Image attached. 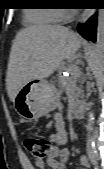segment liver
Listing matches in <instances>:
<instances>
[{"label":"liver","instance_id":"obj_1","mask_svg":"<svg viewBox=\"0 0 104 169\" xmlns=\"http://www.w3.org/2000/svg\"><path fill=\"white\" fill-rule=\"evenodd\" d=\"M81 39L59 25H34L21 30L13 41L6 75V88L13 102L29 81L49 77L62 60L73 58Z\"/></svg>","mask_w":104,"mask_h":169}]
</instances>
